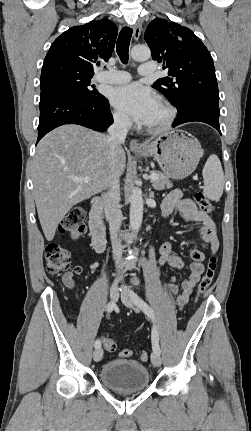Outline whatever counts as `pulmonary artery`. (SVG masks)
<instances>
[{
    "label": "pulmonary artery",
    "mask_w": 251,
    "mask_h": 431,
    "mask_svg": "<svg viewBox=\"0 0 251 431\" xmlns=\"http://www.w3.org/2000/svg\"><path fill=\"white\" fill-rule=\"evenodd\" d=\"M156 70V65L153 62H146L140 65L139 74L147 76L152 74ZM99 81L109 84H124L130 81L131 75L126 71L121 70H109L102 72L99 77Z\"/></svg>",
    "instance_id": "pulmonary-artery-1"
}]
</instances>
